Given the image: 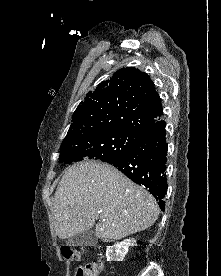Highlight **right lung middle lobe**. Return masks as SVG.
Segmentation results:
<instances>
[{"label": "right lung middle lobe", "mask_w": 221, "mask_h": 276, "mask_svg": "<svg viewBox=\"0 0 221 276\" xmlns=\"http://www.w3.org/2000/svg\"><path fill=\"white\" fill-rule=\"evenodd\" d=\"M140 137L112 132L97 134L80 140L62 142L60 162L71 164L87 159H99L108 162L118 156L127 154L139 142Z\"/></svg>", "instance_id": "right-lung-middle-lobe-1"}]
</instances>
